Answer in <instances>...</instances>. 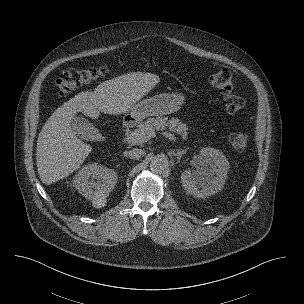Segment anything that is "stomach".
I'll use <instances>...</instances> for the list:
<instances>
[{
	"label": "stomach",
	"mask_w": 304,
	"mask_h": 304,
	"mask_svg": "<svg viewBox=\"0 0 304 304\" xmlns=\"http://www.w3.org/2000/svg\"><path fill=\"white\" fill-rule=\"evenodd\" d=\"M183 103L184 96L181 93H162L136 103L128 116L134 122H140L149 116L174 113Z\"/></svg>",
	"instance_id": "0dacf381"
}]
</instances>
